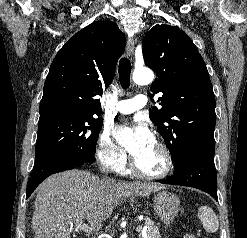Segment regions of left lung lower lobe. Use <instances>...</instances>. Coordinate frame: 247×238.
Segmentation results:
<instances>
[{"label": "left lung lower lobe", "instance_id": "1", "mask_svg": "<svg viewBox=\"0 0 247 238\" xmlns=\"http://www.w3.org/2000/svg\"><path fill=\"white\" fill-rule=\"evenodd\" d=\"M160 183L194 187L207 192L217 200L214 157L200 153L185 154L174 174Z\"/></svg>", "mask_w": 247, "mask_h": 238}]
</instances>
